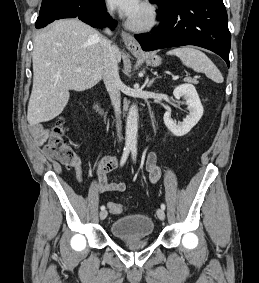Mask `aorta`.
<instances>
[{"label":"aorta","mask_w":259,"mask_h":283,"mask_svg":"<svg viewBox=\"0 0 259 283\" xmlns=\"http://www.w3.org/2000/svg\"><path fill=\"white\" fill-rule=\"evenodd\" d=\"M138 132V109L132 105L129 109L126 120V144L128 146H136Z\"/></svg>","instance_id":"aorta-1"}]
</instances>
